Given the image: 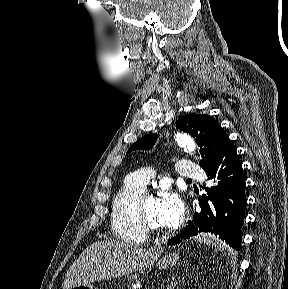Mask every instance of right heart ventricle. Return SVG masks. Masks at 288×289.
Segmentation results:
<instances>
[{
  "label": "right heart ventricle",
  "mask_w": 288,
  "mask_h": 289,
  "mask_svg": "<svg viewBox=\"0 0 288 289\" xmlns=\"http://www.w3.org/2000/svg\"><path fill=\"white\" fill-rule=\"evenodd\" d=\"M144 188L125 180L112 199L110 225L113 235L129 245H141L147 234L136 224L134 208Z\"/></svg>",
  "instance_id": "right-heart-ventricle-1"
}]
</instances>
